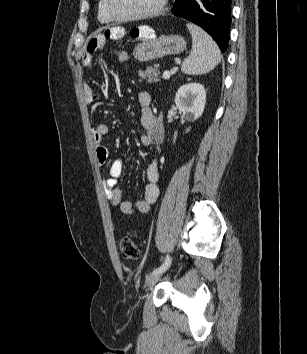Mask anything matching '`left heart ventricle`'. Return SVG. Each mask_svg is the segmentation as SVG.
<instances>
[{
	"label": "left heart ventricle",
	"instance_id": "obj_1",
	"mask_svg": "<svg viewBox=\"0 0 307 354\" xmlns=\"http://www.w3.org/2000/svg\"><path fill=\"white\" fill-rule=\"evenodd\" d=\"M159 0H112L114 10L120 15H134L153 9Z\"/></svg>",
	"mask_w": 307,
	"mask_h": 354
}]
</instances>
